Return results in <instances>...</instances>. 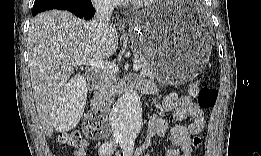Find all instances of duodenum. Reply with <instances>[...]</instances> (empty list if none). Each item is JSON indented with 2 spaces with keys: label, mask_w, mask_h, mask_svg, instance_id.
<instances>
[{
  "label": "duodenum",
  "mask_w": 261,
  "mask_h": 156,
  "mask_svg": "<svg viewBox=\"0 0 261 156\" xmlns=\"http://www.w3.org/2000/svg\"><path fill=\"white\" fill-rule=\"evenodd\" d=\"M87 76H88V79L94 84L98 83L101 78V74H100L99 70H97V69L88 70ZM123 85L130 87L132 84H131V82L127 81ZM110 106H111V102L106 101L104 99L98 98L94 101L95 109H102V110L107 111L110 108Z\"/></svg>",
  "instance_id": "duodenum-1"
}]
</instances>
